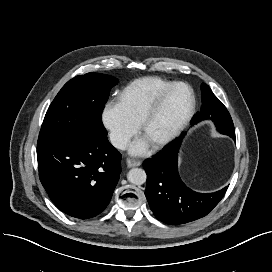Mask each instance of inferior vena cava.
<instances>
[{"label":"inferior vena cava","instance_id":"obj_1","mask_svg":"<svg viewBox=\"0 0 272 272\" xmlns=\"http://www.w3.org/2000/svg\"><path fill=\"white\" fill-rule=\"evenodd\" d=\"M111 144L121 150L126 149L129 143V138L125 135L112 133L110 135Z\"/></svg>","mask_w":272,"mask_h":272}]
</instances>
